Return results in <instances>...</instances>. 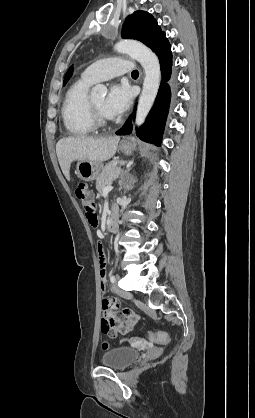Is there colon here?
<instances>
[{
  "instance_id": "5ec220e1",
  "label": "colon",
  "mask_w": 255,
  "mask_h": 418,
  "mask_svg": "<svg viewBox=\"0 0 255 418\" xmlns=\"http://www.w3.org/2000/svg\"><path fill=\"white\" fill-rule=\"evenodd\" d=\"M75 196L82 205L89 223L93 227H96L98 219L96 215L95 203L93 202L89 187L84 183L77 184L75 186ZM148 338L153 342L164 344L168 343L170 340L169 335L166 332H148ZM102 347L104 350H107L110 348V345L105 341L103 342Z\"/></svg>"
}]
</instances>
